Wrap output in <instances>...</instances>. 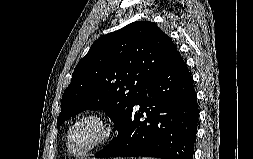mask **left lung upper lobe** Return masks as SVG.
<instances>
[{"label":"left lung upper lobe","instance_id":"1","mask_svg":"<svg viewBox=\"0 0 253 159\" xmlns=\"http://www.w3.org/2000/svg\"><path fill=\"white\" fill-rule=\"evenodd\" d=\"M176 53L169 36L149 21L133 22L99 38L74 69L57 127L84 110L104 109L119 129L148 83Z\"/></svg>","mask_w":253,"mask_h":159}]
</instances>
